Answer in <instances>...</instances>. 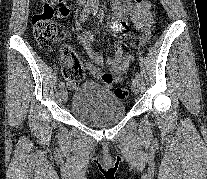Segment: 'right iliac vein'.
<instances>
[{
    "mask_svg": "<svg viewBox=\"0 0 207 179\" xmlns=\"http://www.w3.org/2000/svg\"><path fill=\"white\" fill-rule=\"evenodd\" d=\"M61 97H62V100L64 101V102H67V100H68V92H67V90L66 89H62V91H61Z\"/></svg>",
    "mask_w": 207,
    "mask_h": 179,
    "instance_id": "obj_1",
    "label": "right iliac vein"
}]
</instances>
